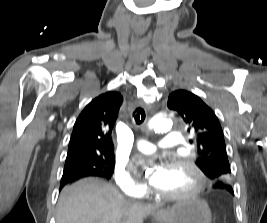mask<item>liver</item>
I'll list each match as a JSON object with an SVG mask.
<instances>
[{
	"label": "liver",
	"mask_w": 267,
	"mask_h": 223,
	"mask_svg": "<svg viewBox=\"0 0 267 223\" xmlns=\"http://www.w3.org/2000/svg\"><path fill=\"white\" fill-rule=\"evenodd\" d=\"M160 206L129 201L104 180L86 178L62 190L56 223H143Z\"/></svg>",
	"instance_id": "obj_1"
}]
</instances>
